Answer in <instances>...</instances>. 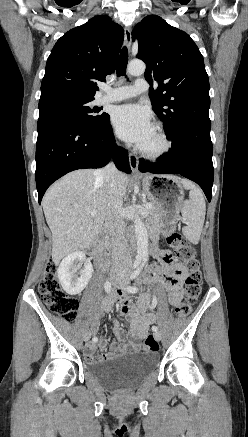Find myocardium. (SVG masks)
Masks as SVG:
<instances>
[{"label":"myocardium","mask_w":248,"mask_h":437,"mask_svg":"<svg viewBox=\"0 0 248 437\" xmlns=\"http://www.w3.org/2000/svg\"><path fill=\"white\" fill-rule=\"evenodd\" d=\"M154 130L157 133L158 139L160 141V146L156 149H147L141 145L137 146V151L145 157L151 159H157L166 155L171 149V141L167 136L164 128L160 124L154 125Z\"/></svg>","instance_id":"f54148a6"}]
</instances>
